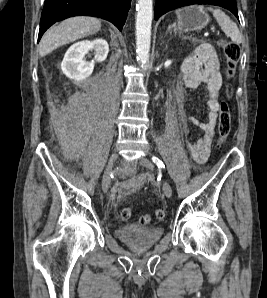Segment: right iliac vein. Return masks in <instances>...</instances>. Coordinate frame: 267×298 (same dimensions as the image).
<instances>
[{
	"mask_svg": "<svg viewBox=\"0 0 267 298\" xmlns=\"http://www.w3.org/2000/svg\"><path fill=\"white\" fill-rule=\"evenodd\" d=\"M117 159H118L117 153H113L111 155V157L109 158V161H108V164H107V167L104 172L103 179H102V187L104 190H107L110 186L111 172H112L113 166Z\"/></svg>",
	"mask_w": 267,
	"mask_h": 298,
	"instance_id": "63e3f726",
	"label": "right iliac vein"
}]
</instances>
